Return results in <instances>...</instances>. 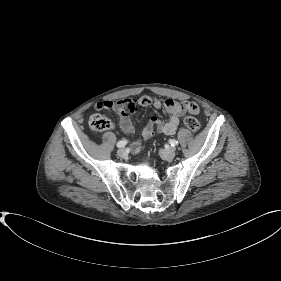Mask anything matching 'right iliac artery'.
<instances>
[{"instance_id": "82829eb1", "label": "right iliac artery", "mask_w": 281, "mask_h": 281, "mask_svg": "<svg viewBox=\"0 0 281 281\" xmlns=\"http://www.w3.org/2000/svg\"><path fill=\"white\" fill-rule=\"evenodd\" d=\"M127 140H121V141H119L118 143H117V147H124L126 144H127Z\"/></svg>"}]
</instances>
